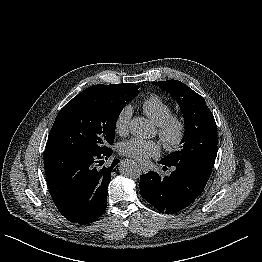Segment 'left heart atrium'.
<instances>
[{
    "label": "left heart atrium",
    "instance_id": "left-heart-atrium-1",
    "mask_svg": "<svg viewBox=\"0 0 262 262\" xmlns=\"http://www.w3.org/2000/svg\"><path fill=\"white\" fill-rule=\"evenodd\" d=\"M119 152L136 160L146 161L151 157H158L161 147L155 141L132 138L119 145Z\"/></svg>",
    "mask_w": 262,
    "mask_h": 262
}]
</instances>
